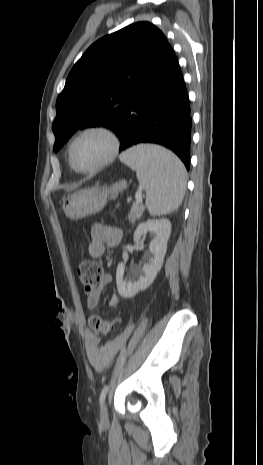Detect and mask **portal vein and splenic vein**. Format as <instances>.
<instances>
[{"label": "portal vein and splenic vein", "instance_id": "obj_1", "mask_svg": "<svg viewBox=\"0 0 263 465\" xmlns=\"http://www.w3.org/2000/svg\"><path fill=\"white\" fill-rule=\"evenodd\" d=\"M135 198H136V202L133 204L134 206L139 205V203L142 202V195H141L140 189L136 192Z\"/></svg>", "mask_w": 263, "mask_h": 465}]
</instances>
